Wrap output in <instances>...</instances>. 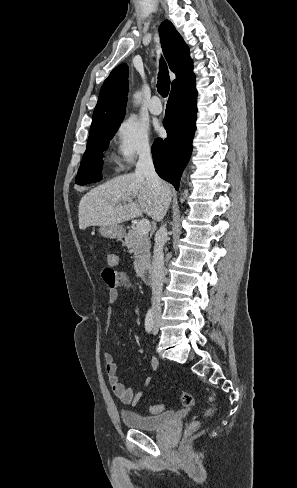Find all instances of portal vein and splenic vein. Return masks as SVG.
I'll return each mask as SVG.
<instances>
[{
    "mask_svg": "<svg viewBox=\"0 0 297 488\" xmlns=\"http://www.w3.org/2000/svg\"><path fill=\"white\" fill-rule=\"evenodd\" d=\"M126 201L131 202L132 199H127ZM136 229L139 233H147L151 229L150 221L147 219H142L138 222Z\"/></svg>",
    "mask_w": 297,
    "mask_h": 488,
    "instance_id": "1",
    "label": "portal vein and splenic vein"
}]
</instances>
